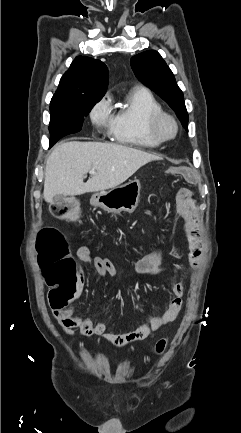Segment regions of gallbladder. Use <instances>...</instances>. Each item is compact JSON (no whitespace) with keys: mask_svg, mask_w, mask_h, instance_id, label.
Instances as JSON below:
<instances>
[{"mask_svg":"<svg viewBox=\"0 0 241 433\" xmlns=\"http://www.w3.org/2000/svg\"><path fill=\"white\" fill-rule=\"evenodd\" d=\"M63 199H64V197L62 195H56L53 197L52 203H57L59 201H62Z\"/></svg>","mask_w":241,"mask_h":433,"instance_id":"obj_1","label":"gallbladder"}]
</instances>
